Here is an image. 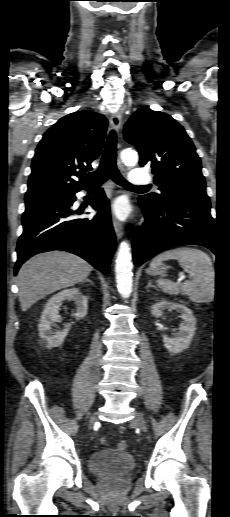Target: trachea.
Listing matches in <instances>:
<instances>
[{"instance_id": "1", "label": "trachea", "mask_w": 230, "mask_h": 517, "mask_svg": "<svg viewBox=\"0 0 230 517\" xmlns=\"http://www.w3.org/2000/svg\"><path fill=\"white\" fill-rule=\"evenodd\" d=\"M116 133L114 130L110 132L107 138V142L105 145V150L103 153V157L100 163L99 168L89 173V176L91 178V185L92 186H100L108 179H112L115 183L118 185L128 188V189H135V188H149V186H134L131 185L128 181H126L120 172L117 169V149H116Z\"/></svg>"}]
</instances>
